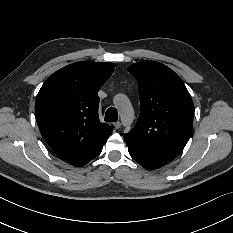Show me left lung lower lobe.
Wrapping results in <instances>:
<instances>
[{"label": "left lung lower lobe", "instance_id": "0a47b994", "mask_svg": "<svg viewBox=\"0 0 233 233\" xmlns=\"http://www.w3.org/2000/svg\"><path fill=\"white\" fill-rule=\"evenodd\" d=\"M124 140L131 157L148 170L160 168L175 158L148 148L126 136H124Z\"/></svg>", "mask_w": 233, "mask_h": 233}]
</instances>
